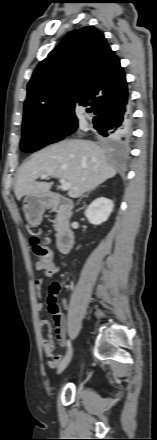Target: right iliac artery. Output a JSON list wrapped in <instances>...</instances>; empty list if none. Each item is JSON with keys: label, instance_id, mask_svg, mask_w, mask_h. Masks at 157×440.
<instances>
[{"label": "right iliac artery", "instance_id": "obj_1", "mask_svg": "<svg viewBox=\"0 0 157 440\" xmlns=\"http://www.w3.org/2000/svg\"><path fill=\"white\" fill-rule=\"evenodd\" d=\"M70 351H71V343H70V341L68 340V341H67V352H66V355H67Z\"/></svg>", "mask_w": 157, "mask_h": 440}]
</instances>
